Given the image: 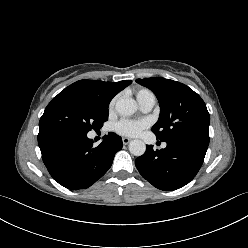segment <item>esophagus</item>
<instances>
[{"label":"esophagus","instance_id":"1","mask_svg":"<svg viewBox=\"0 0 248 248\" xmlns=\"http://www.w3.org/2000/svg\"><path fill=\"white\" fill-rule=\"evenodd\" d=\"M122 142H123V144L127 145V144H129L131 142V139L127 138V137H124V138H122Z\"/></svg>","mask_w":248,"mask_h":248}]
</instances>
